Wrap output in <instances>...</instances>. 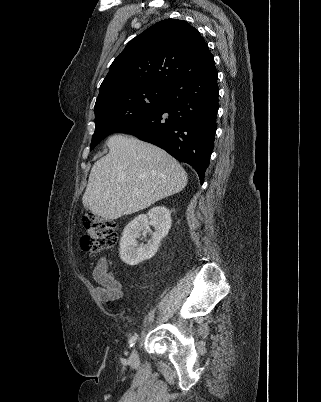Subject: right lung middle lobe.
<instances>
[{
    "instance_id": "dd1d6c3e",
    "label": "right lung middle lobe",
    "mask_w": 321,
    "mask_h": 402,
    "mask_svg": "<svg viewBox=\"0 0 321 402\" xmlns=\"http://www.w3.org/2000/svg\"><path fill=\"white\" fill-rule=\"evenodd\" d=\"M166 87L150 86L111 95L95 104V132L90 151L106 136L156 110Z\"/></svg>"
}]
</instances>
